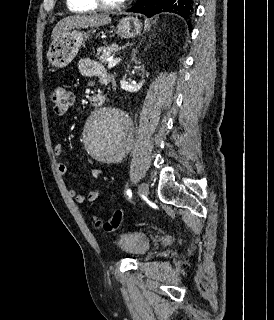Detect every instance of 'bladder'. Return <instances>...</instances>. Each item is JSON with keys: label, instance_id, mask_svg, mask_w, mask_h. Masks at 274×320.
Listing matches in <instances>:
<instances>
[{"label": "bladder", "instance_id": "obj_1", "mask_svg": "<svg viewBox=\"0 0 274 320\" xmlns=\"http://www.w3.org/2000/svg\"><path fill=\"white\" fill-rule=\"evenodd\" d=\"M114 243L120 252L134 258L144 256L150 247L149 238L137 232H121Z\"/></svg>", "mask_w": 274, "mask_h": 320}]
</instances>
